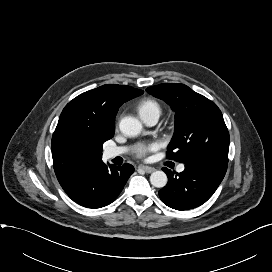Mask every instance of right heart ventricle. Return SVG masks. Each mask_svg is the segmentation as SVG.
<instances>
[{
    "mask_svg": "<svg viewBox=\"0 0 272 272\" xmlns=\"http://www.w3.org/2000/svg\"><path fill=\"white\" fill-rule=\"evenodd\" d=\"M140 117H145L151 114L160 115L161 107L159 103L153 99H144L137 106Z\"/></svg>",
    "mask_w": 272,
    "mask_h": 272,
    "instance_id": "1",
    "label": "right heart ventricle"
}]
</instances>
